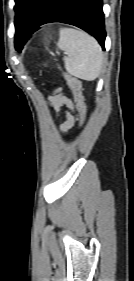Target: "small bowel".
Returning <instances> with one entry per match:
<instances>
[{
	"label": "small bowel",
	"instance_id": "small-bowel-1",
	"mask_svg": "<svg viewBox=\"0 0 134 281\" xmlns=\"http://www.w3.org/2000/svg\"><path fill=\"white\" fill-rule=\"evenodd\" d=\"M49 104L58 115L65 118L60 129L64 133L67 132L74 123L72 101L62 94L60 90H57L49 97Z\"/></svg>",
	"mask_w": 134,
	"mask_h": 281
}]
</instances>
